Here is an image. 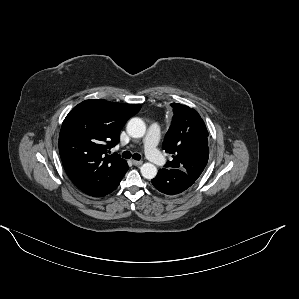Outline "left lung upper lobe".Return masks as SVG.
<instances>
[{
  "mask_svg": "<svg viewBox=\"0 0 299 299\" xmlns=\"http://www.w3.org/2000/svg\"><path fill=\"white\" fill-rule=\"evenodd\" d=\"M171 105L174 116L163 149L172 154L173 160L165 168L180 169L196 181L209 158L208 131L196 110L182 104Z\"/></svg>",
  "mask_w": 299,
  "mask_h": 299,
  "instance_id": "5c2ea615",
  "label": "left lung upper lobe"
}]
</instances>
